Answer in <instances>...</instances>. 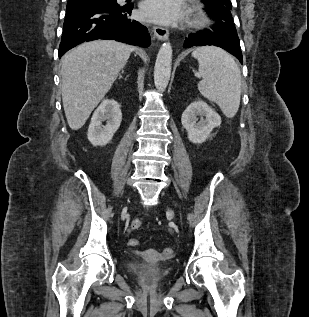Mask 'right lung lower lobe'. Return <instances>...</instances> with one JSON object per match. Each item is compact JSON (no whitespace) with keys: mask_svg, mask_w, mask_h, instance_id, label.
<instances>
[{"mask_svg":"<svg viewBox=\"0 0 309 317\" xmlns=\"http://www.w3.org/2000/svg\"><path fill=\"white\" fill-rule=\"evenodd\" d=\"M133 5H106L85 0H68L59 58L74 46L96 39H110L147 47L148 29L129 15Z\"/></svg>","mask_w":309,"mask_h":317,"instance_id":"98d812e1","label":"right lung lower lobe"}]
</instances>
